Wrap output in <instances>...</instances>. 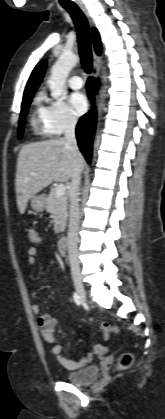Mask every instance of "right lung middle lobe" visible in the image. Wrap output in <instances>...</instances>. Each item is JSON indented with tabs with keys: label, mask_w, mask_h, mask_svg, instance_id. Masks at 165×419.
Segmentation results:
<instances>
[{
	"label": "right lung middle lobe",
	"mask_w": 165,
	"mask_h": 419,
	"mask_svg": "<svg viewBox=\"0 0 165 419\" xmlns=\"http://www.w3.org/2000/svg\"><path fill=\"white\" fill-rule=\"evenodd\" d=\"M33 96L28 97L27 99H24L22 101L21 106V113H20V121H19V127H18V137L21 138L23 131H24V123H25V117L28 112V107L32 101Z\"/></svg>",
	"instance_id": "obj_1"
}]
</instances>
